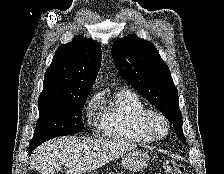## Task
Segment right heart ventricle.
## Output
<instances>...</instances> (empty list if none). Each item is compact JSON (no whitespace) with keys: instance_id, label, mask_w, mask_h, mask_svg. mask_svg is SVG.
Here are the masks:
<instances>
[{"instance_id":"right-heart-ventricle-1","label":"right heart ventricle","mask_w":224,"mask_h":174,"mask_svg":"<svg viewBox=\"0 0 224 174\" xmlns=\"http://www.w3.org/2000/svg\"><path fill=\"white\" fill-rule=\"evenodd\" d=\"M100 101L99 131L102 135L138 144L153 140L140 127V117L147 108L137 94L121 89L110 98Z\"/></svg>"}]
</instances>
